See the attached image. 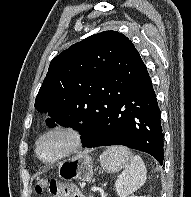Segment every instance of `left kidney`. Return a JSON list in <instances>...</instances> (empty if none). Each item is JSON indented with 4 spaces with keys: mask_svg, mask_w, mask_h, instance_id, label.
<instances>
[{
    "mask_svg": "<svg viewBox=\"0 0 191 197\" xmlns=\"http://www.w3.org/2000/svg\"><path fill=\"white\" fill-rule=\"evenodd\" d=\"M131 197H146V196H131Z\"/></svg>",
    "mask_w": 191,
    "mask_h": 197,
    "instance_id": "1",
    "label": "left kidney"
}]
</instances>
